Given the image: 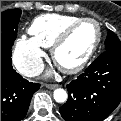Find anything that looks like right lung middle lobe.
<instances>
[{
  "label": "right lung middle lobe",
  "mask_w": 121,
  "mask_h": 121,
  "mask_svg": "<svg viewBox=\"0 0 121 121\" xmlns=\"http://www.w3.org/2000/svg\"><path fill=\"white\" fill-rule=\"evenodd\" d=\"M21 12L20 9H11L1 13V48H12Z\"/></svg>",
  "instance_id": "obj_1"
}]
</instances>
